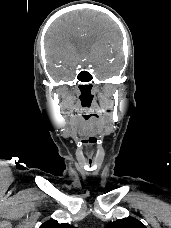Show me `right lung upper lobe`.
Instances as JSON below:
<instances>
[{"label":"right lung upper lobe","mask_w":171,"mask_h":228,"mask_svg":"<svg viewBox=\"0 0 171 228\" xmlns=\"http://www.w3.org/2000/svg\"><path fill=\"white\" fill-rule=\"evenodd\" d=\"M39 228H74L72 225L68 223H58L55 220H49L43 223Z\"/></svg>","instance_id":"1"}]
</instances>
